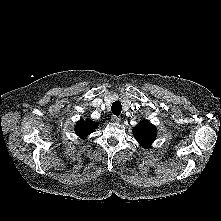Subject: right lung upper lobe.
<instances>
[{
  "label": "right lung upper lobe",
  "mask_w": 221,
  "mask_h": 221,
  "mask_svg": "<svg viewBox=\"0 0 221 221\" xmlns=\"http://www.w3.org/2000/svg\"><path fill=\"white\" fill-rule=\"evenodd\" d=\"M96 125H97L96 123L89 121V120L87 121L80 120L77 122L75 126V132L79 137L85 138L91 132L94 131V129L96 128Z\"/></svg>",
  "instance_id": "obj_1"
}]
</instances>
